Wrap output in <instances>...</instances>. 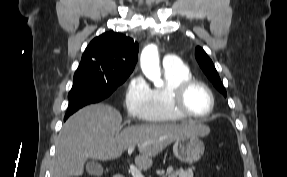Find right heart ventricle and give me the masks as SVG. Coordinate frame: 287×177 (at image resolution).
Returning a JSON list of instances; mask_svg holds the SVG:
<instances>
[{
	"label": "right heart ventricle",
	"instance_id": "obj_1",
	"mask_svg": "<svg viewBox=\"0 0 287 177\" xmlns=\"http://www.w3.org/2000/svg\"><path fill=\"white\" fill-rule=\"evenodd\" d=\"M164 85L150 89L147 121L169 123L183 120L172 107L171 96L174 89L186 79L192 78L189 68L184 64L163 68Z\"/></svg>",
	"mask_w": 287,
	"mask_h": 177
}]
</instances>
